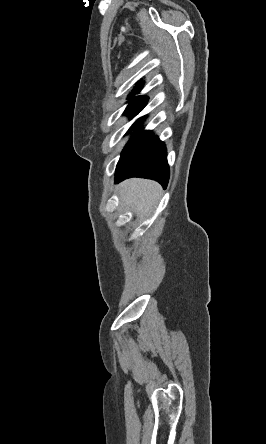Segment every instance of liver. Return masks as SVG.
<instances>
[{"label":"liver","instance_id":"obj_1","mask_svg":"<svg viewBox=\"0 0 266 444\" xmlns=\"http://www.w3.org/2000/svg\"><path fill=\"white\" fill-rule=\"evenodd\" d=\"M161 187L158 183L132 178L121 183L119 188L121 203H125L134 210L136 215L147 214L157 203Z\"/></svg>","mask_w":266,"mask_h":444}]
</instances>
